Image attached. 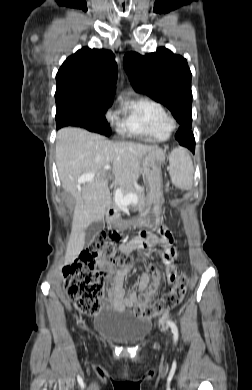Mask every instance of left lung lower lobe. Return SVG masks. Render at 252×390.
Listing matches in <instances>:
<instances>
[{
  "mask_svg": "<svg viewBox=\"0 0 252 390\" xmlns=\"http://www.w3.org/2000/svg\"><path fill=\"white\" fill-rule=\"evenodd\" d=\"M175 137L180 145L189 148L193 153L195 152V139L191 131V125H181Z\"/></svg>",
  "mask_w": 252,
  "mask_h": 390,
  "instance_id": "0a47b994",
  "label": "left lung lower lobe"
}]
</instances>
